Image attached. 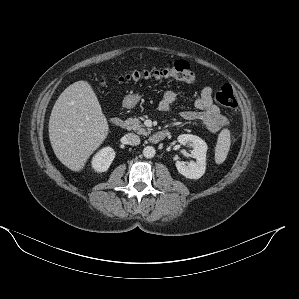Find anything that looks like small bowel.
<instances>
[{"label": "small bowel", "mask_w": 299, "mask_h": 299, "mask_svg": "<svg viewBox=\"0 0 299 299\" xmlns=\"http://www.w3.org/2000/svg\"><path fill=\"white\" fill-rule=\"evenodd\" d=\"M212 95L213 91L210 87L203 88L194 101L196 110L184 111L182 117L189 121H200L207 130L216 133L228 126L229 122L213 102ZM176 100L177 94L172 90H167L159 101L158 107L163 112L169 111Z\"/></svg>", "instance_id": "1"}]
</instances>
